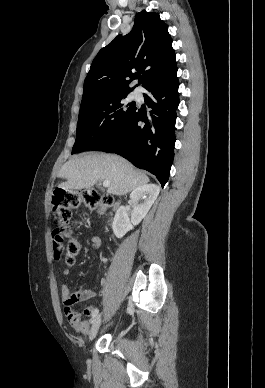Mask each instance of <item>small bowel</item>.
I'll return each instance as SVG.
<instances>
[{
  "mask_svg": "<svg viewBox=\"0 0 265 388\" xmlns=\"http://www.w3.org/2000/svg\"><path fill=\"white\" fill-rule=\"evenodd\" d=\"M89 244L91 248L98 252L101 247V239L98 236H92L89 239ZM68 271H64L63 275H67ZM105 286V282H101V288L100 290H95L94 288H85L82 290L77 291L76 293H71L69 288L63 284L61 287V293H62V299L65 305V313L66 315L68 313H76L71 307L72 305L78 301V300H87L90 298H93L95 295H101L103 293V289ZM95 307L93 305H90L86 307L85 309V315H91L94 312ZM71 323V322H70ZM71 325L74 327L75 330H77L81 334H86L90 325V322L87 320H81L79 318L77 323H71Z\"/></svg>",
  "mask_w": 265,
  "mask_h": 388,
  "instance_id": "c3829d8e",
  "label": "small bowel"
}]
</instances>
